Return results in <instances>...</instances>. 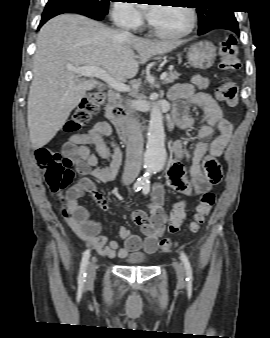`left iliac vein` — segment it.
<instances>
[{
  "mask_svg": "<svg viewBox=\"0 0 270 338\" xmlns=\"http://www.w3.org/2000/svg\"><path fill=\"white\" fill-rule=\"evenodd\" d=\"M173 265H174L178 280L182 282L184 280V268L182 264L179 263L178 261H174Z\"/></svg>",
  "mask_w": 270,
  "mask_h": 338,
  "instance_id": "1",
  "label": "left iliac vein"
}]
</instances>
